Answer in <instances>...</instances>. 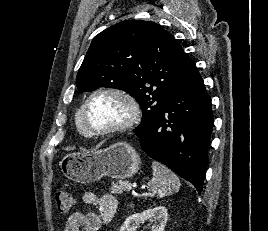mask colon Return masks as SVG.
I'll return each mask as SVG.
<instances>
[{
    "mask_svg": "<svg viewBox=\"0 0 268 231\" xmlns=\"http://www.w3.org/2000/svg\"><path fill=\"white\" fill-rule=\"evenodd\" d=\"M75 196L67 191H59L56 194V206L60 213L66 214L75 206Z\"/></svg>",
    "mask_w": 268,
    "mask_h": 231,
    "instance_id": "obj_1",
    "label": "colon"
}]
</instances>
